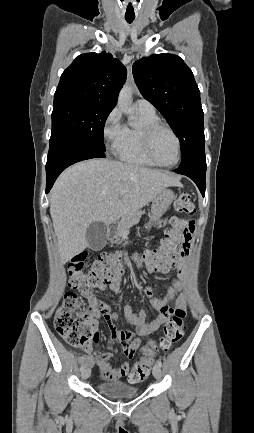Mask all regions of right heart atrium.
Returning a JSON list of instances; mask_svg holds the SVG:
<instances>
[{
    "mask_svg": "<svg viewBox=\"0 0 254 433\" xmlns=\"http://www.w3.org/2000/svg\"><path fill=\"white\" fill-rule=\"evenodd\" d=\"M123 129L124 125L122 124L121 112L115 107L106 116L102 128L103 139L108 148L115 151Z\"/></svg>",
    "mask_w": 254,
    "mask_h": 433,
    "instance_id": "obj_1",
    "label": "right heart atrium"
}]
</instances>
